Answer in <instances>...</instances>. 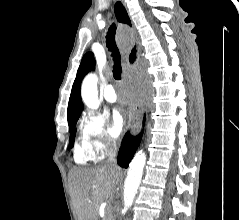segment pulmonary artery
<instances>
[{"label": "pulmonary artery", "mask_w": 239, "mask_h": 220, "mask_svg": "<svg viewBox=\"0 0 239 220\" xmlns=\"http://www.w3.org/2000/svg\"><path fill=\"white\" fill-rule=\"evenodd\" d=\"M104 98L108 102H116L117 101V94L115 92L114 86L112 84H109L106 86L104 90Z\"/></svg>", "instance_id": "obj_1"}]
</instances>
